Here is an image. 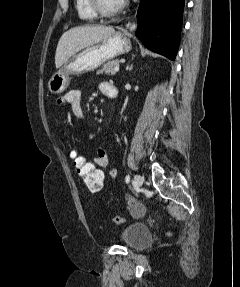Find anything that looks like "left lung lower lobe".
<instances>
[{
  "instance_id": "obj_1",
  "label": "left lung lower lobe",
  "mask_w": 240,
  "mask_h": 287,
  "mask_svg": "<svg viewBox=\"0 0 240 287\" xmlns=\"http://www.w3.org/2000/svg\"><path fill=\"white\" fill-rule=\"evenodd\" d=\"M183 8L184 0H141L136 36L148 49L175 60Z\"/></svg>"
}]
</instances>
